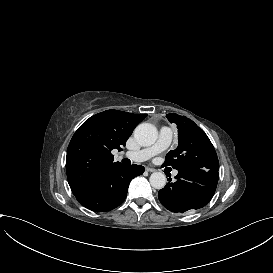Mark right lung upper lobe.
<instances>
[{"label": "right lung upper lobe", "mask_w": 273, "mask_h": 273, "mask_svg": "<svg viewBox=\"0 0 273 273\" xmlns=\"http://www.w3.org/2000/svg\"><path fill=\"white\" fill-rule=\"evenodd\" d=\"M147 114L107 110L87 119L75 132L67 149L66 172L73 194L121 165L113 162V149L122 146Z\"/></svg>", "instance_id": "obj_1"}]
</instances>
